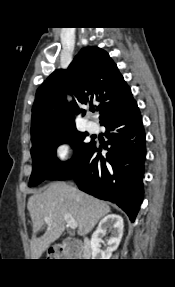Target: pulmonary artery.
<instances>
[{"label":"pulmonary artery","instance_id":"e3ab8cb5","mask_svg":"<svg viewBox=\"0 0 175 287\" xmlns=\"http://www.w3.org/2000/svg\"><path fill=\"white\" fill-rule=\"evenodd\" d=\"M86 128H87L88 132H90V133H96L98 130L97 124L93 121H88L86 123Z\"/></svg>","mask_w":175,"mask_h":287}]
</instances>
